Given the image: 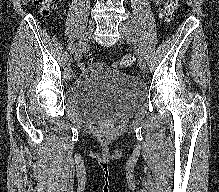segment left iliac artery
Returning a JSON list of instances; mask_svg holds the SVG:
<instances>
[{"mask_svg":"<svg viewBox=\"0 0 219 192\" xmlns=\"http://www.w3.org/2000/svg\"><path fill=\"white\" fill-rule=\"evenodd\" d=\"M127 41H130V42H132V43L134 44V46H135V48H136V51H137V53H138L139 55H141V56L143 55V52H142L141 49L139 48L138 43H137V40H136L134 37L130 36Z\"/></svg>","mask_w":219,"mask_h":192,"instance_id":"1","label":"left iliac artery"}]
</instances>
